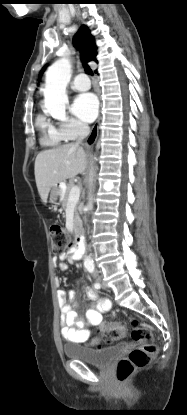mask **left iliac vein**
<instances>
[{"label": "left iliac vein", "instance_id": "left-iliac-vein-1", "mask_svg": "<svg viewBox=\"0 0 187 415\" xmlns=\"http://www.w3.org/2000/svg\"><path fill=\"white\" fill-rule=\"evenodd\" d=\"M99 281L101 282V287L103 289H107V285L102 281V277L101 276H99Z\"/></svg>", "mask_w": 187, "mask_h": 415}]
</instances>
